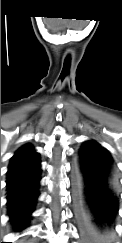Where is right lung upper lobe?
Wrapping results in <instances>:
<instances>
[{
    "label": "right lung upper lobe",
    "mask_w": 122,
    "mask_h": 243,
    "mask_svg": "<svg viewBox=\"0 0 122 243\" xmlns=\"http://www.w3.org/2000/svg\"><path fill=\"white\" fill-rule=\"evenodd\" d=\"M39 164V154L36 153L31 145H24L19 148L12 157L8 168L7 177L35 167Z\"/></svg>",
    "instance_id": "cb5924a9"
}]
</instances>
